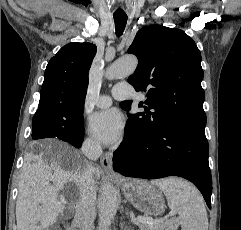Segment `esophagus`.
I'll list each match as a JSON object with an SVG mask.
<instances>
[{"mask_svg": "<svg viewBox=\"0 0 241 230\" xmlns=\"http://www.w3.org/2000/svg\"><path fill=\"white\" fill-rule=\"evenodd\" d=\"M113 153L112 152H106L100 159L101 165L103 169L109 173H112V160Z\"/></svg>", "mask_w": 241, "mask_h": 230, "instance_id": "34e87169", "label": "esophagus"}]
</instances>
